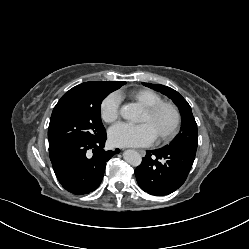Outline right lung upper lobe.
I'll list each match as a JSON object with an SVG mask.
<instances>
[{"instance_id":"right-lung-upper-lobe-1","label":"right lung upper lobe","mask_w":249,"mask_h":249,"mask_svg":"<svg viewBox=\"0 0 249 249\" xmlns=\"http://www.w3.org/2000/svg\"><path fill=\"white\" fill-rule=\"evenodd\" d=\"M125 82L122 81H113V82H85L80 85H77L70 89L67 93H65L62 98L59 100V102L54 107V110L52 113L57 111L60 107L65 105L67 102H69L71 99L76 97L83 89L89 88V87H102L107 88L112 91L120 88L123 86Z\"/></svg>"}]
</instances>
